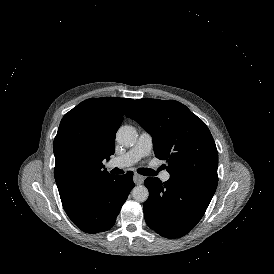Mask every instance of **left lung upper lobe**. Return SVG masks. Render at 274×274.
Segmentation results:
<instances>
[{"label": "left lung upper lobe", "instance_id": "1", "mask_svg": "<svg viewBox=\"0 0 274 274\" xmlns=\"http://www.w3.org/2000/svg\"><path fill=\"white\" fill-rule=\"evenodd\" d=\"M149 134L171 178L210 187L218 183V152L205 123L175 100L138 99L126 114ZM166 168V166H165Z\"/></svg>", "mask_w": 274, "mask_h": 274}]
</instances>
